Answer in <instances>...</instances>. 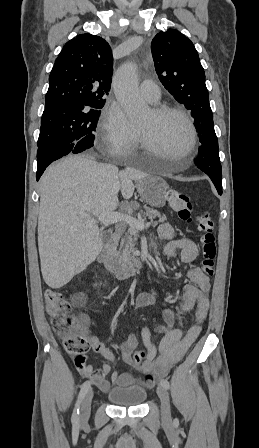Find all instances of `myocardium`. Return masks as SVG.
<instances>
[{
  "label": "myocardium",
  "instance_id": "1",
  "mask_svg": "<svg viewBox=\"0 0 259 448\" xmlns=\"http://www.w3.org/2000/svg\"><path fill=\"white\" fill-rule=\"evenodd\" d=\"M152 112L153 115L157 118L163 117L168 114H175L184 120L189 130V139L187 144L183 148L182 157L186 161H192L194 157V148L197 141V131L190 116L182 108L175 105H155L152 108ZM138 130L141 137L143 149L148 153H157L160 149L150 140L143 129L138 127Z\"/></svg>",
  "mask_w": 259,
  "mask_h": 448
}]
</instances>
